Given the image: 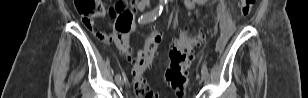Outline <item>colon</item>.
<instances>
[{
    "instance_id": "1",
    "label": "colon",
    "mask_w": 308,
    "mask_h": 98,
    "mask_svg": "<svg viewBox=\"0 0 308 98\" xmlns=\"http://www.w3.org/2000/svg\"><path fill=\"white\" fill-rule=\"evenodd\" d=\"M255 2L256 0H241L240 15L247 16ZM74 6L84 25L88 29L93 28L92 20L103 14V5L100 0H74ZM110 15L116 19L114 33L112 35L106 33H96V36L103 42L113 41L117 48L123 53L129 52V31H139L140 29H144L145 31H154L156 29L154 24H145L144 26H140L139 24H131L132 21L136 20V17L133 16L132 1L117 2L110 9ZM196 15L197 13H195L194 16ZM203 39L204 31L202 29L194 30L191 23H188L185 26L184 35L181 40V44H184V47L182 49H177L176 46H174L170 51V70L167 77L170 81L171 87L178 96H182L183 94L187 70L194 58L192 49L194 46H199ZM159 41L160 37L156 32H153L148 36L143 50L135 61L133 69L135 87L139 93H147L148 96L151 95L149 93V87L141 78V75L154 57Z\"/></svg>"
}]
</instances>
